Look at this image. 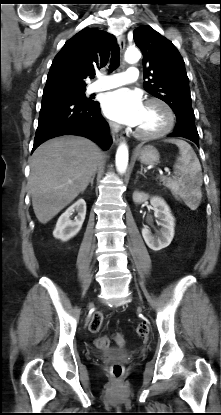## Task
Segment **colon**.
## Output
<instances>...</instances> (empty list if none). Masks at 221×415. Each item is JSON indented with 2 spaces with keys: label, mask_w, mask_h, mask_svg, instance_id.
<instances>
[{
  "label": "colon",
  "mask_w": 221,
  "mask_h": 415,
  "mask_svg": "<svg viewBox=\"0 0 221 415\" xmlns=\"http://www.w3.org/2000/svg\"><path fill=\"white\" fill-rule=\"evenodd\" d=\"M170 194L175 195V199H180V194H177L176 188H171ZM103 320H104V314L101 312H96L90 320L89 329L92 332H98L102 327ZM148 332H149V328L147 324L145 323H140L136 327L137 335L142 338L147 337ZM114 341L118 346H124L125 344V338L120 333H117L114 335ZM96 345L100 349H105L109 346V339L107 337H100L97 339ZM123 373H124V367L122 366V364L115 362L110 366V374L115 380H120L123 376Z\"/></svg>",
  "instance_id": "colon-1"
}]
</instances>
